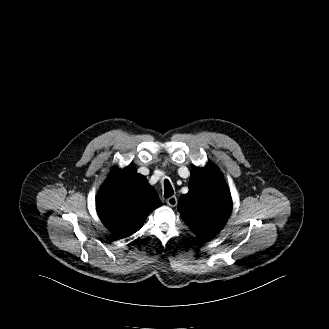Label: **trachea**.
<instances>
[{"label":"trachea","instance_id":"3493384b","mask_svg":"<svg viewBox=\"0 0 329 329\" xmlns=\"http://www.w3.org/2000/svg\"><path fill=\"white\" fill-rule=\"evenodd\" d=\"M174 194L173 188L168 180L164 181V197L168 198Z\"/></svg>","mask_w":329,"mask_h":329}]
</instances>
